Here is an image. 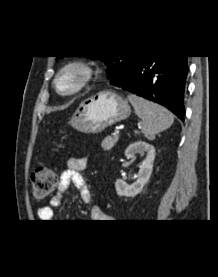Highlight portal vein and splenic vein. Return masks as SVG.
I'll return each mask as SVG.
<instances>
[{
    "label": "portal vein and splenic vein",
    "mask_w": 218,
    "mask_h": 277,
    "mask_svg": "<svg viewBox=\"0 0 218 277\" xmlns=\"http://www.w3.org/2000/svg\"><path fill=\"white\" fill-rule=\"evenodd\" d=\"M119 133H120L119 130H115V132H114L115 135H118Z\"/></svg>",
    "instance_id": "obj_1"
}]
</instances>
